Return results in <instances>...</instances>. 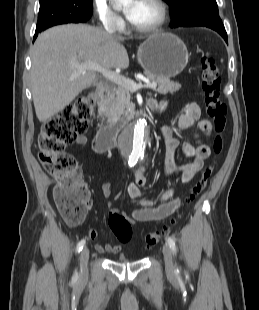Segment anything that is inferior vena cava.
Here are the masks:
<instances>
[{"label": "inferior vena cava", "instance_id": "602c4592", "mask_svg": "<svg viewBox=\"0 0 259 310\" xmlns=\"http://www.w3.org/2000/svg\"><path fill=\"white\" fill-rule=\"evenodd\" d=\"M106 31L109 34H114L115 33V24L112 21H109L106 26H105Z\"/></svg>", "mask_w": 259, "mask_h": 310}]
</instances>
